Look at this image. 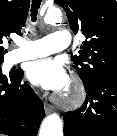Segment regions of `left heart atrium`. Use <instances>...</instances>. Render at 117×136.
<instances>
[{
	"label": "left heart atrium",
	"mask_w": 117,
	"mask_h": 136,
	"mask_svg": "<svg viewBox=\"0 0 117 136\" xmlns=\"http://www.w3.org/2000/svg\"><path fill=\"white\" fill-rule=\"evenodd\" d=\"M29 80L46 90L62 92L69 84V76L63 64L52 58L32 62L27 69Z\"/></svg>",
	"instance_id": "1"
}]
</instances>
